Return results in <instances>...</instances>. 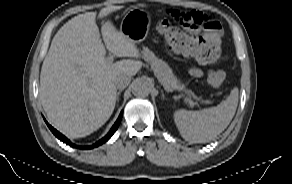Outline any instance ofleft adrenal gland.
Wrapping results in <instances>:
<instances>
[{"label":"left adrenal gland","mask_w":292,"mask_h":184,"mask_svg":"<svg viewBox=\"0 0 292 184\" xmlns=\"http://www.w3.org/2000/svg\"><path fill=\"white\" fill-rule=\"evenodd\" d=\"M161 93H162V98L164 99L165 98V96H164V93H163V91L161 90Z\"/></svg>","instance_id":"1"}]
</instances>
